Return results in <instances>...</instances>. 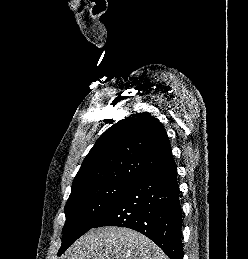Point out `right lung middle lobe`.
<instances>
[{"mask_svg":"<svg viewBox=\"0 0 248 259\" xmlns=\"http://www.w3.org/2000/svg\"><path fill=\"white\" fill-rule=\"evenodd\" d=\"M131 182L111 180L72 189L65 205L66 222L58 255L93 228L117 203Z\"/></svg>","mask_w":248,"mask_h":259,"instance_id":"1","label":"right lung middle lobe"}]
</instances>
